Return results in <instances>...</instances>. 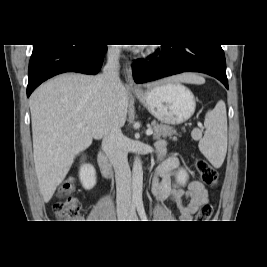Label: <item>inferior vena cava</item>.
I'll list each match as a JSON object with an SVG mask.
<instances>
[{"label":"inferior vena cava","mask_w":267,"mask_h":267,"mask_svg":"<svg viewBox=\"0 0 267 267\" xmlns=\"http://www.w3.org/2000/svg\"><path fill=\"white\" fill-rule=\"evenodd\" d=\"M118 57V48L109 49L107 64L103 73L98 77L104 87L111 91H117L121 86L118 75ZM102 148L115 171L117 209L118 211L128 210L131 204V171L121 126L114 115L111 116V121L104 132Z\"/></svg>","instance_id":"602c4592"}]
</instances>
